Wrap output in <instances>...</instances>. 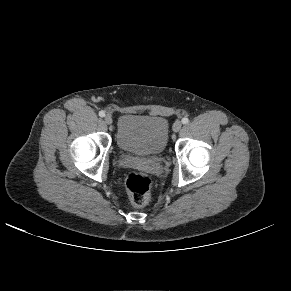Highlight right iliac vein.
<instances>
[{
  "label": "right iliac vein",
  "instance_id": "63e3f726",
  "mask_svg": "<svg viewBox=\"0 0 291 291\" xmlns=\"http://www.w3.org/2000/svg\"><path fill=\"white\" fill-rule=\"evenodd\" d=\"M104 121L108 125L112 124V122H113L112 117L110 115H106L104 118Z\"/></svg>",
  "mask_w": 291,
  "mask_h": 291
}]
</instances>
